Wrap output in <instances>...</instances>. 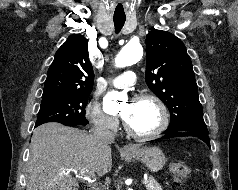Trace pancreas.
Masks as SVG:
<instances>
[{
  "instance_id": "obj_1",
  "label": "pancreas",
  "mask_w": 238,
  "mask_h": 190,
  "mask_svg": "<svg viewBox=\"0 0 238 190\" xmlns=\"http://www.w3.org/2000/svg\"><path fill=\"white\" fill-rule=\"evenodd\" d=\"M147 190H163L161 185L153 178H150L148 180V183L146 184ZM97 190H105V189H97Z\"/></svg>"
}]
</instances>
